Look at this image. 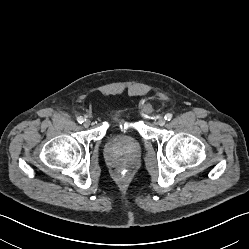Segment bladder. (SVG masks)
I'll list each match as a JSON object with an SVG mask.
<instances>
[{
    "instance_id": "1",
    "label": "bladder",
    "mask_w": 249,
    "mask_h": 249,
    "mask_svg": "<svg viewBox=\"0 0 249 249\" xmlns=\"http://www.w3.org/2000/svg\"><path fill=\"white\" fill-rule=\"evenodd\" d=\"M140 110H141V107L139 105H136L134 107H129V108H123L120 111V113L114 118V120L111 122V126L119 120H122L126 117L133 115V114L139 113Z\"/></svg>"
}]
</instances>
